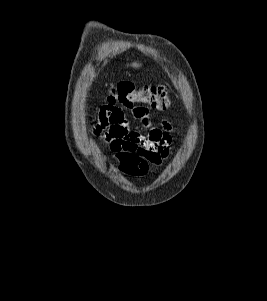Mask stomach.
Returning <instances> with one entry per match:
<instances>
[{"mask_svg": "<svg viewBox=\"0 0 267 301\" xmlns=\"http://www.w3.org/2000/svg\"><path fill=\"white\" fill-rule=\"evenodd\" d=\"M131 66H132L133 68H139V67L142 66V64L139 63V62H134V63H131Z\"/></svg>", "mask_w": 267, "mask_h": 301, "instance_id": "0dacf381", "label": "stomach"}]
</instances>
